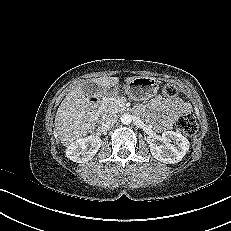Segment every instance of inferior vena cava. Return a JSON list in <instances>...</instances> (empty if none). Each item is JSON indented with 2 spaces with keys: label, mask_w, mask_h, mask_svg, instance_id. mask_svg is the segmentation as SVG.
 I'll use <instances>...</instances> for the list:
<instances>
[{
  "label": "inferior vena cava",
  "mask_w": 231,
  "mask_h": 231,
  "mask_svg": "<svg viewBox=\"0 0 231 231\" xmlns=\"http://www.w3.org/2000/svg\"><path fill=\"white\" fill-rule=\"evenodd\" d=\"M117 120H118V117L116 114H108L103 117L102 125L104 128H110L117 122Z\"/></svg>",
  "instance_id": "obj_1"
}]
</instances>
